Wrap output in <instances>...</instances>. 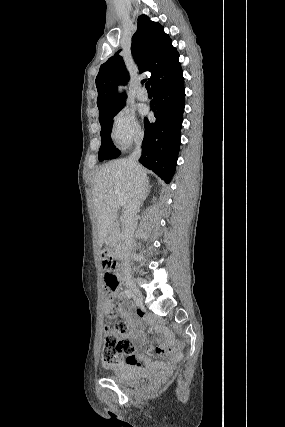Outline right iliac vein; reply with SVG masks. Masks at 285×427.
Here are the masks:
<instances>
[{
  "label": "right iliac vein",
  "instance_id": "obj_1",
  "mask_svg": "<svg viewBox=\"0 0 285 427\" xmlns=\"http://www.w3.org/2000/svg\"><path fill=\"white\" fill-rule=\"evenodd\" d=\"M126 285L130 293L132 294L136 304L138 306H141L143 304V295L141 291L134 285L131 279L127 280Z\"/></svg>",
  "mask_w": 285,
  "mask_h": 427
}]
</instances>
